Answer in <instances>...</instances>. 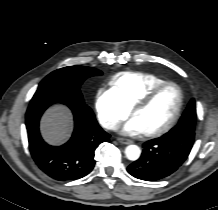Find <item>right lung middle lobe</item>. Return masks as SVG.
Here are the masks:
<instances>
[{
    "label": "right lung middle lobe",
    "mask_w": 218,
    "mask_h": 210,
    "mask_svg": "<svg viewBox=\"0 0 218 210\" xmlns=\"http://www.w3.org/2000/svg\"><path fill=\"white\" fill-rule=\"evenodd\" d=\"M100 75L101 71L85 66H68L55 70L41 81L33 98L50 96L84 102L80 85L85 79Z\"/></svg>",
    "instance_id": "1"
}]
</instances>
